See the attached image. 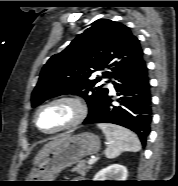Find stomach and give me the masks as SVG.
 Here are the masks:
<instances>
[{
	"mask_svg": "<svg viewBox=\"0 0 178 186\" xmlns=\"http://www.w3.org/2000/svg\"><path fill=\"white\" fill-rule=\"evenodd\" d=\"M99 150L100 139L93 133L83 132L76 135H64V139L34 166L26 181H54L63 169L78 163L88 155L97 153Z\"/></svg>",
	"mask_w": 178,
	"mask_h": 186,
	"instance_id": "1",
	"label": "stomach"
}]
</instances>
